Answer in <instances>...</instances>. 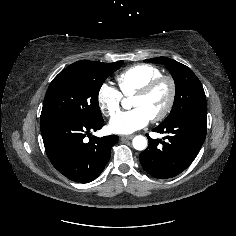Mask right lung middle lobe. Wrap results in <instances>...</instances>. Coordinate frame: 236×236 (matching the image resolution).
<instances>
[{
  "mask_svg": "<svg viewBox=\"0 0 236 236\" xmlns=\"http://www.w3.org/2000/svg\"><path fill=\"white\" fill-rule=\"evenodd\" d=\"M122 63L81 60L63 69L48 87L40 123L58 116L75 117L87 122L101 120L99 90L107 77L119 69Z\"/></svg>",
  "mask_w": 236,
  "mask_h": 236,
  "instance_id": "1",
  "label": "right lung middle lobe"
}]
</instances>
